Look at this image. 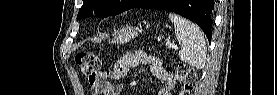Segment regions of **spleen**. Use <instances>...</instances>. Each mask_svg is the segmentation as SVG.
Wrapping results in <instances>:
<instances>
[{"mask_svg":"<svg viewBox=\"0 0 277 95\" xmlns=\"http://www.w3.org/2000/svg\"><path fill=\"white\" fill-rule=\"evenodd\" d=\"M174 24L176 38L181 46L180 59L198 69L205 66L206 42L199 29L194 23L176 15L169 14Z\"/></svg>","mask_w":277,"mask_h":95,"instance_id":"1","label":"spleen"}]
</instances>
